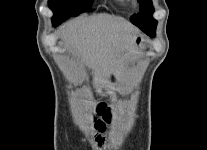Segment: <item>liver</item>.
Segmentation results:
<instances>
[{"mask_svg": "<svg viewBox=\"0 0 207 150\" xmlns=\"http://www.w3.org/2000/svg\"><path fill=\"white\" fill-rule=\"evenodd\" d=\"M136 31L123 18L98 14L71 22L62 40L92 70L93 83L99 86L115 73L120 53L133 50Z\"/></svg>", "mask_w": 207, "mask_h": 150, "instance_id": "obj_1", "label": "liver"}]
</instances>
